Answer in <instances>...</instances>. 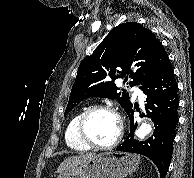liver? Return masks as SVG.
<instances>
[{
  "label": "liver",
  "instance_id": "liver-1",
  "mask_svg": "<svg viewBox=\"0 0 194 178\" xmlns=\"http://www.w3.org/2000/svg\"><path fill=\"white\" fill-rule=\"evenodd\" d=\"M96 154L94 153H86V154H80V155H74L67 159H65L61 165L57 169V173H62L76 165H79L93 157H95Z\"/></svg>",
  "mask_w": 194,
  "mask_h": 178
}]
</instances>
